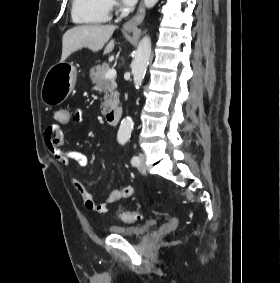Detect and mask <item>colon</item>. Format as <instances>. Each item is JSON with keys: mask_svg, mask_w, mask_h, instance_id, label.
<instances>
[{"mask_svg": "<svg viewBox=\"0 0 280 283\" xmlns=\"http://www.w3.org/2000/svg\"><path fill=\"white\" fill-rule=\"evenodd\" d=\"M55 119L57 125H70L73 114H69V108H56ZM119 217L126 223H134L140 219V214L138 211H123L119 214Z\"/></svg>", "mask_w": 280, "mask_h": 283, "instance_id": "5ec220e1", "label": "colon"}]
</instances>
